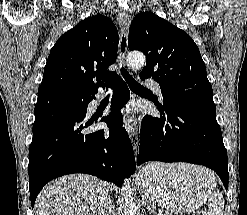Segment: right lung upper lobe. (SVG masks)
I'll return each instance as SVG.
<instances>
[{
  "label": "right lung upper lobe",
  "mask_w": 247,
  "mask_h": 215,
  "mask_svg": "<svg viewBox=\"0 0 247 215\" xmlns=\"http://www.w3.org/2000/svg\"><path fill=\"white\" fill-rule=\"evenodd\" d=\"M118 42V31L109 18L97 15L79 22L51 49L40 87L82 95L97 92L105 85L102 80L116 77L108 67L116 61Z\"/></svg>",
  "instance_id": "1"
}]
</instances>
